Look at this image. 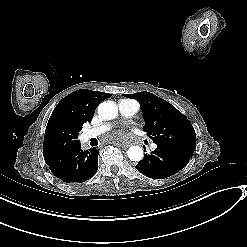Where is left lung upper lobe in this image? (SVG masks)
<instances>
[{"mask_svg":"<svg viewBox=\"0 0 247 247\" xmlns=\"http://www.w3.org/2000/svg\"><path fill=\"white\" fill-rule=\"evenodd\" d=\"M140 102L148 136L157 146L175 147L193 154L196 134L190 121L173 105L150 92L123 94Z\"/></svg>","mask_w":247,"mask_h":247,"instance_id":"obj_1","label":"left lung upper lobe"}]
</instances>
